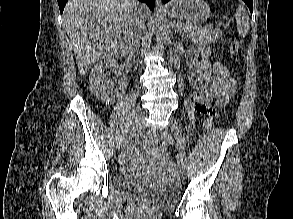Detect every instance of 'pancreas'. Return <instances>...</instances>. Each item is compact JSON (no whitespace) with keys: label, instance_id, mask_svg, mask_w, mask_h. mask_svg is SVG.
I'll list each match as a JSON object with an SVG mask.
<instances>
[{"label":"pancreas","instance_id":"obj_1","mask_svg":"<svg viewBox=\"0 0 293 219\" xmlns=\"http://www.w3.org/2000/svg\"><path fill=\"white\" fill-rule=\"evenodd\" d=\"M179 24L180 32L197 43H215L222 36V32L220 30L204 29L192 23Z\"/></svg>","mask_w":293,"mask_h":219}]
</instances>
